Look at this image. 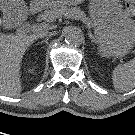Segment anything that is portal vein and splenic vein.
<instances>
[{
    "label": "portal vein and splenic vein",
    "instance_id": "18ae733b",
    "mask_svg": "<svg viewBox=\"0 0 135 135\" xmlns=\"http://www.w3.org/2000/svg\"><path fill=\"white\" fill-rule=\"evenodd\" d=\"M47 28H48L47 24L41 23V24H38L35 27H33V31H35L36 33H38V32L44 31Z\"/></svg>",
    "mask_w": 135,
    "mask_h": 135
}]
</instances>
